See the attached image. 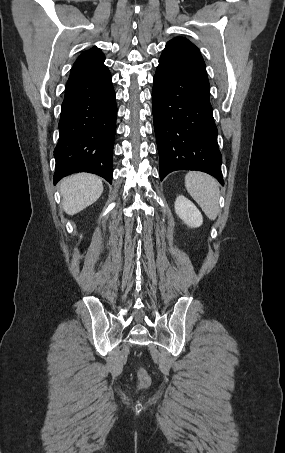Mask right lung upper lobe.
Instances as JSON below:
<instances>
[{"mask_svg": "<svg viewBox=\"0 0 285 453\" xmlns=\"http://www.w3.org/2000/svg\"><path fill=\"white\" fill-rule=\"evenodd\" d=\"M104 60H105V55L103 54V52L100 49L93 47V48L89 49L88 51L82 52L81 55L76 60L75 65H82V66L103 65Z\"/></svg>", "mask_w": 285, "mask_h": 453, "instance_id": "1", "label": "right lung upper lobe"}]
</instances>
